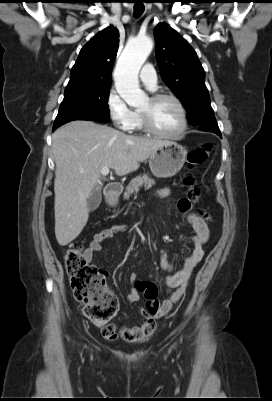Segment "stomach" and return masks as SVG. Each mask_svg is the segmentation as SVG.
<instances>
[{
	"label": "stomach",
	"instance_id": "stomach-1",
	"mask_svg": "<svg viewBox=\"0 0 272 401\" xmlns=\"http://www.w3.org/2000/svg\"><path fill=\"white\" fill-rule=\"evenodd\" d=\"M187 151L176 143L169 142L159 147L150 156L149 167L152 174L157 178H169L176 175L184 165ZM111 205H116L117 201H109Z\"/></svg>",
	"mask_w": 272,
	"mask_h": 401
}]
</instances>
